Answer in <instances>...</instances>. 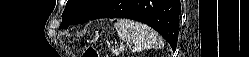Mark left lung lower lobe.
I'll list each match as a JSON object with an SVG mask.
<instances>
[{
	"mask_svg": "<svg viewBox=\"0 0 249 57\" xmlns=\"http://www.w3.org/2000/svg\"><path fill=\"white\" fill-rule=\"evenodd\" d=\"M180 0H112L92 19L129 18L151 26L176 49Z\"/></svg>",
	"mask_w": 249,
	"mask_h": 57,
	"instance_id": "obj_1",
	"label": "left lung lower lobe"
}]
</instances>
